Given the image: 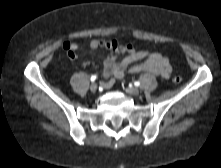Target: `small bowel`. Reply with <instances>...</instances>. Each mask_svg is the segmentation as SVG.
<instances>
[{
  "label": "small bowel",
  "mask_w": 221,
  "mask_h": 168,
  "mask_svg": "<svg viewBox=\"0 0 221 168\" xmlns=\"http://www.w3.org/2000/svg\"><path fill=\"white\" fill-rule=\"evenodd\" d=\"M89 47L90 49L104 47L111 52L103 61L104 87L112 86L117 79L123 78L128 73L148 72L163 78H169L172 72V67L167 57L160 53L136 50L131 44L122 45L117 40H93L90 42ZM63 48L67 53V57L74 60L79 44L76 42H65ZM138 61L141 62L134 64ZM88 64V61L84 62V65Z\"/></svg>",
  "instance_id": "obj_1"
}]
</instances>
